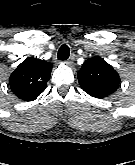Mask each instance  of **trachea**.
I'll return each instance as SVG.
<instances>
[{"label": "trachea", "instance_id": "trachea-1", "mask_svg": "<svg viewBox=\"0 0 135 165\" xmlns=\"http://www.w3.org/2000/svg\"><path fill=\"white\" fill-rule=\"evenodd\" d=\"M69 55H70V49L68 45L63 44L58 51V55H57L58 59L63 61L67 60Z\"/></svg>", "mask_w": 135, "mask_h": 165}]
</instances>
